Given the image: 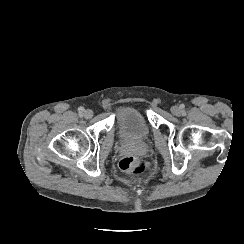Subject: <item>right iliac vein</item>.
<instances>
[{
    "label": "right iliac vein",
    "mask_w": 244,
    "mask_h": 244,
    "mask_svg": "<svg viewBox=\"0 0 244 244\" xmlns=\"http://www.w3.org/2000/svg\"><path fill=\"white\" fill-rule=\"evenodd\" d=\"M83 116H84L85 118H87V119H88V118H91V117L93 116V111L90 110V109H87V110L84 111Z\"/></svg>",
    "instance_id": "1"
}]
</instances>
